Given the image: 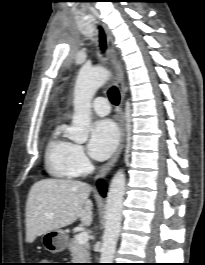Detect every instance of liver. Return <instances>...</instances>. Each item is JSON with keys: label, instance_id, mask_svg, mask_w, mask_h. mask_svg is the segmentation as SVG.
<instances>
[{"label": "liver", "instance_id": "obj_1", "mask_svg": "<svg viewBox=\"0 0 205 265\" xmlns=\"http://www.w3.org/2000/svg\"><path fill=\"white\" fill-rule=\"evenodd\" d=\"M91 186L75 180L44 179L33 184L26 203V241L66 227L78 218L92 223Z\"/></svg>", "mask_w": 205, "mask_h": 265}]
</instances>
